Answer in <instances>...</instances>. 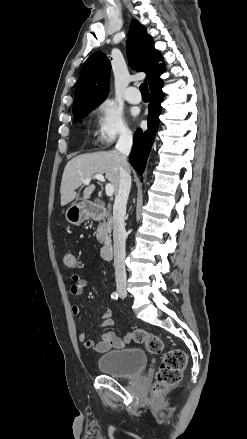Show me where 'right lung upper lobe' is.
<instances>
[{"mask_svg":"<svg viewBox=\"0 0 247 439\" xmlns=\"http://www.w3.org/2000/svg\"><path fill=\"white\" fill-rule=\"evenodd\" d=\"M127 54L132 69L146 73L145 80L150 90L163 85L160 75L164 71L161 54L154 48V42L146 28L133 20L127 39ZM111 65L101 52L92 54L83 64L75 89L73 114L94 109L107 97Z\"/></svg>","mask_w":247,"mask_h":439,"instance_id":"right-lung-upper-lobe-1","label":"right lung upper lobe"}]
</instances>
